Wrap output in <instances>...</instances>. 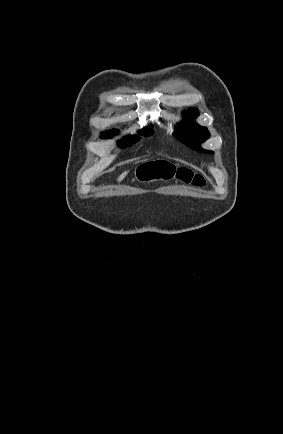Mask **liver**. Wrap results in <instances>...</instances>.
I'll return each instance as SVG.
<instances>
[{"label":"liver","instance_id":"1","mask_svg":"<svg viewBox=\"0 0 283 434\" xmlns=\"http://www.w3.org/2000/svg\"><path fill=\"white\" fill-rule=\"evenodd\" d=\"M127 171H125V172H123L119 177H118V181H122L124 178H125V176L127 175Z\"/></svg>","mask_w":283,"mask_h":434}]
</instances>
